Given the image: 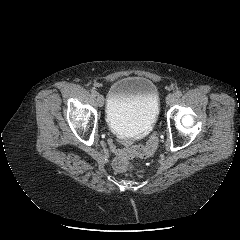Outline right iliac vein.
Returning <instances> with one entry per match:
<instances>
[{
	"instance_id": "obj_1",
	"label": "right iliac vein",
	"mask_w": 240,
	"mask_h": 240,
	"mask_svg": "<svg viewBox=\"0 0 240 240\" xmlns=\"http://www.w3.org/2000/svg\"><path fill=\"white\" fill-rule=\"evenodd\" d=\"M97 104H98L99 107L103 106V104H104V97H103V95H101V94L97 95Z\"/></svg>"
}]
</instances>
